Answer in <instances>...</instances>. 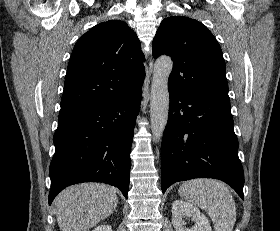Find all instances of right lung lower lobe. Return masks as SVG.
<instances>
[{
	"mask_svg": "<svg viewBox=\"0 0 280 231\" xmlns=\"http://www.w3.org/2000/svg\"><path fill=\"white\" fill-rule=\"evenodd\" d=\"M141 88L134 93L59 114L50 164L49 204L65 187L104 182L127 198L130 152Z\"/></svg>",
	"mask_w": 280,
	"mask_h": 231,
	"instance_id": "obj_1",
	"label": "right lung lower lobe"
}]
</instances>
